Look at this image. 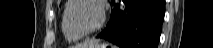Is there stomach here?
I'll return each instance as SVG.
<instances>
[{
	"label": "stomach",
	"mask_w": 213,
	"mask_h": 48,
	"mask_svg": "<svg viewBox=\"0 0 213 48\" xmlns=\"http://www.w3.org/2000/svg\"><path fill=\"white\" fill-rule=\"evenodd\" d=\"M107 47H111L112 48V46L107 44V43H100V44L98 43L94 47H89V48H107Z\"/></svg>",
	"instance_id": "0dacf381"
}]
</instances>
